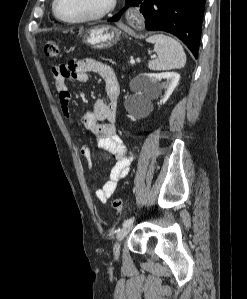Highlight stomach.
I'll list each match as a JSON object with an SVG mask.
<instances>
[{"label":"stomach","mask_w":247,"mask_h":299,"mask_svg":"<svg viewBox=\"0 0 247 299\" xmlns=\"http://www.w3.org/2000/svg\"><path fill=\"white\" fill-rule=\"evenodd\" d=\"M121 30L110 25H97L88 29L83 43L94 49H107L120 40Z\"/></svg>","instance_id":"1"}]
</instances>
